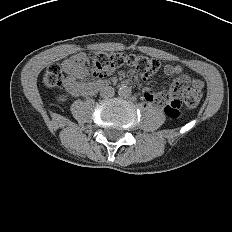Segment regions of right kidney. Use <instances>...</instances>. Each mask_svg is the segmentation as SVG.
Listing matches in <instances>:
<instances>
[{"label": "right kidney", "instance_id": "ca27d5eb", "mask_svg": "<svg viewBox=\"0 0 232 232\" xmlns=\"http://www.w3.org/2000/svg\"><path fill=\"white\" fill-rule=\"evenodd\" d=\"M57 100H58L59 102H65V101H66V96H64V95H59V96L57 97Z\"/></svg>", "mask_w": 232, "mask_h": 232}]
</instances>
